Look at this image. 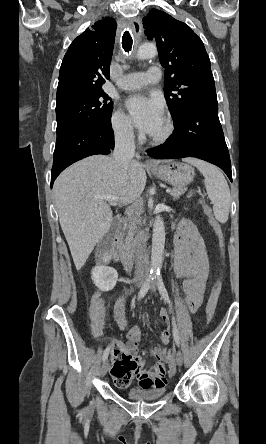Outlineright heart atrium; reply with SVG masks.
I'll use <instances>...</instances> for the list:
<instances>
[{"label":"right heart atrium","instance_id":"obj_1","mask_svg":"<svg viewBox=\"0 0 266 444\" xmlns=\"http://www.w3.org/2000/svg\"><path fill=\"white\" fill-rule=\"evenodd\" d=\"M114 135L120 140H131L134 137V127L130 118L120 109L111 118Z\"/></svg>","mask_w":266,"mask_h":444}]
</instances>
